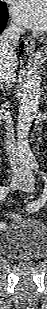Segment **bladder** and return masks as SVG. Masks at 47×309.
<instances>
[{"label": "bladder", "instance_id": "31cf9c89", "mask_svg": "<svg viewBox=\"0 0 47 309\" xmlns=\"http://www.w3.org/2000/svg\"><path fill=\"white\" fill-rule=\"evenodd\" d=\"M47 249V228L39 220L18 217L4 231L0 240L3 255L12 259L41 258Z\"/></svg>", "mask_w": 47, "mask_h": 309}]
</instances>
